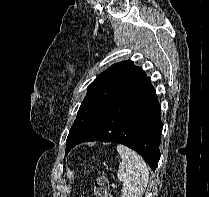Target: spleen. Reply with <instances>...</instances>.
<instances>
[{
  "label": "spleen",
  "mask_w": 209,
  "mask_h": 197,
  "mask_svg": "<svg viewBox=\"0 0 209 197\" xmlns=\"http://www.w3.org/2000/svg\"><path fill=\"white\" fill-rule=\"evenodd\" d=\"M121 157L117 176L123 182L121 197H142L149 180L148 168L143 158L134 150L118 145Z\"/></svg>",
  "instance_id": "1"
}]
</instances>
